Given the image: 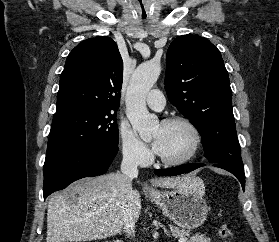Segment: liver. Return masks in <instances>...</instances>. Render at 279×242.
I'll return each mask as SVG.
<instances>
[{
  "mask_svg": "<svg viewBox=\"0 0 279 242\" xmlns=\"http://www.w3.org/2000/svg\"><path fill=\"white\" fill-rule=\"evenodd\" d=\"M127 178L109 173L82 179L64 193L53 195L48 201L46 242H81L115 236L124 229L126 209L136 222L141 213L139 191L124 194ZM151 183L162 188H190L204 193L199 178L159 177Z\"/></svg>",
  "mask_w": 279,
  "mask_h": 242,
  "instance_id": "1",
  "label": "liver"
}]
</instances>
